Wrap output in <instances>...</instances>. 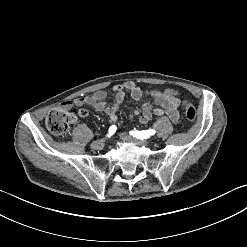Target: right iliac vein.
<instances>
[{"label": "right iliac vein", "mask_w": 247, "mask_h": 247, "mask_svg": "<svg viewBox=\"0 0 247 247\" xmlns=\"http://www.w3.org/2000/svg\"><path fill=\"white\" fill-rule=\"evenodd\" d=\"M104 142H105L104 139L94 141V142L91 144V147H92L93 149L99 150V149H101V147H102V145L104 144Z\"/></svg>", "instance_id": "63e3f726"}]
</instances>
